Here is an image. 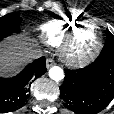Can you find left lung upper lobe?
Returning <instances> with one entry per match:
<instances>
[{
  "label": "left lung upper lobe",
  "instance_id": "5c2ea615",
  "mask_svg": "<svg viewBox=\"0 0 114 114\" xmlns=\"http://www.w3.org/2000/svg\"><path fill=\"white\" fill-rule=\"evenodd\" d=\"M106 33L107 38L101 53L114 54V36L109 32V30H107Z\"/></svg>",
  "mask_w": 114,
  "mask_h": 114
}]
</instances>
